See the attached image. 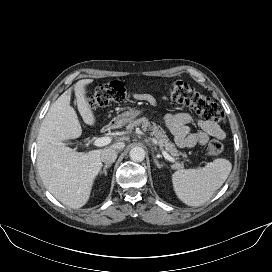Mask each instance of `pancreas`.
Instances as JSON below:
<instances>
[{"instance_id": "pancreas-1", "label": "pancreas", "mask_w": 272, "mask_h": 272, "mask_svg": "<svg viewBox=\"0 0 272 272\" xmlns=\"http://www.w3.org/2000/svg\"><path fill=\"white\" fill-rule=\"evenodd\" d=\"M141 126L144 131H151L150 135L152 138L150 140L158 145L160 148H165L172 156L178 157L179 155L186 156L185 154L178 153L175 145L169 141L165 131L156 123H151L147 118L142 117L133 121H130L128 124V129H133L134 127ZM183 166L182 163L175 162L174 168L178 169Z\"/></svg>"}]
</instances>
